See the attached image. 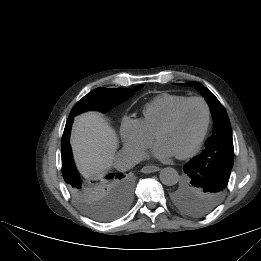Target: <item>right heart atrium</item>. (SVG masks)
<instances>
[{"instance_id": "obj_1", "label": "right heart atrium", "mask_w": 261, "mask_h": 261, "mask_svg": "<svg viewBox=\"0 0 261 261\" xmlns=\"http://www.w3.org/2000/svg\"><path fill=\"white\" fill-rule=\"evenodd\" d=\"M121 138L127 148L146 151L153 143L154 136L148 133L138 119L125 118L121 124Z\"/></svg>"}]
</instances>
